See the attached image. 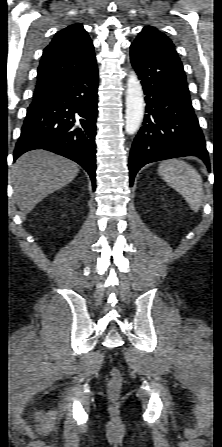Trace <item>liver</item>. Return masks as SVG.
I'll list each match as a JSON object with an SVG mask.
<instances>
[{"label":"liver","instance_id":"obj_1","mask_svg":"<svg viewBox=\"0 0 222 447\" xmlns=\"http://www.w3.org/2000/svg\"><path fill=\"white\" fill-rule=\"evenodd\" d=\"M78 172L77 163L44 150L23 154L11 170L19 209L28 214L49 194L70 183Z\"/></svg>","mask_w":222,"mask_h":447}]
</instances>
